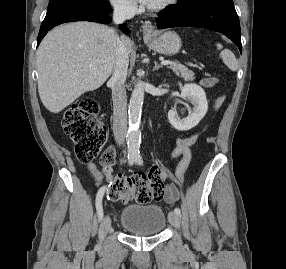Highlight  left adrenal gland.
Returning <instances> with one entry per match:
<instances>
[{
  "label": "left adrenal gland",
  "instance_id": "1",
  "mask_svg": "<svg viewBox=\"0 0 286 269\" xmlns=\"http://www.w3.org/2000/svg\"><path fill=\"white\" fill-rule=\"evenodd\" d=\"M154 68H153V71H156V70H158L160 67H162V66H160V65H158V63L156 62V61H154Z\"/></svg>",
  "mask_w": 286,
  "mask_h": 269
}]
</instances>
